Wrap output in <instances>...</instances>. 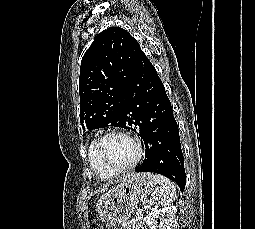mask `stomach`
Returning <instances> with one entry per match:
<instances>
[{
    "instance_id": "0dacf381",
    "label": "stomach",
    "mask_w": 255,
    "mask_h": 229,
    "mask_svg": "<svg viewBox=\"0 0 255 229\" xmlns=\"http://www.w3.org/2000/svg\"><path fill=\"white\" fill-rule=\"evenodd\" d=\"M151 173H131L126 175L107 197L98 210V219L108 224L126 223L137 208L139 200L152 195L156 188Z\"/></svg>"
}]
</instances>
